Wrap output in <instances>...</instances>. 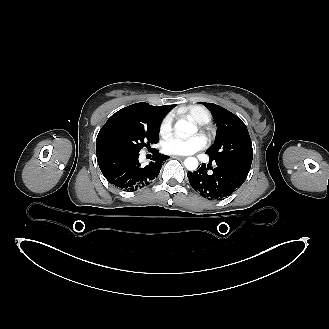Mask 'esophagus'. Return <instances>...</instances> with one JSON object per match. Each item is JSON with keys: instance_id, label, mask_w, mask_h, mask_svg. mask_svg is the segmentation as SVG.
Segmentation results:
<instances>
[{"instance_id": "1", "label": "esophagus", "mask_w": 329, "mask_h": 329, "mask_svg": "<svg viewBox=\"0 0 329 329\" xmlns=\"http://www.w3.org/2000/svg\"><path fill=\"white\" fill-rule=\"evenodd\" d=\"M172 158L184 159V156L173 155Z\"/></svg>"}]
</instances>
